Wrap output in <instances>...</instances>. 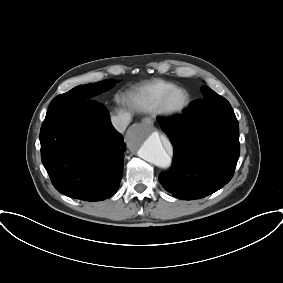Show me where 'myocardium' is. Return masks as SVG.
<instances>
[{
    "mask_svg": "<svg viewBox=\"0 0 283 283\" xmlns=\"http://www.w3.org/2000/svg\"><path fill=\"white\" fill-rule=\"evenodd\" d=\"M177 95H181L182 100L179 103H174L173 98ZM189 103V93L181 87H174L159 99L156 109L162 115L174 117L184 112Z\"/></svg>",
    "mask_w": 283,
    "mask_h": 283,
    "instance_id": "f54148a6",
    "label": "myocardium"
}]
</instances>
